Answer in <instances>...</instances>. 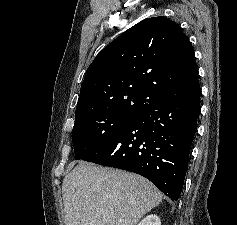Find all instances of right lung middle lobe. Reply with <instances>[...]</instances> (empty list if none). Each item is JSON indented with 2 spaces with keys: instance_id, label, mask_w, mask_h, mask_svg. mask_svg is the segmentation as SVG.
I'll list each match as a JSON object with an SVG mask.
<instances>
[{
  "instance_id": "right-lung-middle-lobe-1",
  "label": "right lung middle lobe",
  "mask_w": 237,
  "mask_h": 225,
  "mask_svg": "<svg viewBox=\"0 0 237 225\" xmlns=\"http://www.w3.org/2000/svg\"><path fill=\"white\" fill-rule=\"evenodd\" d=\"M135 114H101L75 121L72 141L75 159H82L120 132Z\"/></svg>"
}]
</instances>
